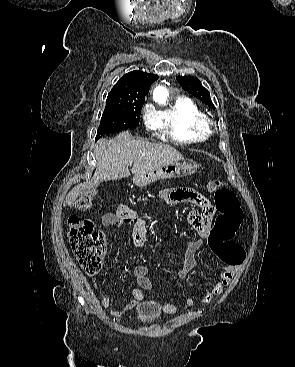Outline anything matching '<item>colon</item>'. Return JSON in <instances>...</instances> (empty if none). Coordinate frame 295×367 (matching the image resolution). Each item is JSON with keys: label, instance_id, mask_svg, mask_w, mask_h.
Listing matches in <instances>:
<instances>
[{"label": "colon", "instance_id": "colon-1", "mask_svg": "<svg viewBox=\"0 0 295 367\" xmlns=\"http://www.w3.org/2000/svg\"><path fill=\"white\" fill-rule=\"evenodd\" d=\"M208 189L214 194L219 215L210 232V246L226 263L239 265L243 262V248L233 241L243 219V213L236 194L220 180H212ZM94 206V195H81L74 203L80 211H88ZM69 241L80 266L89 274L96 273L101 266L105 252L103 234L95 229L94 222L88 217L70 216Z\"/></svg>", "mask_w": 295, "mask_h": 367}]
</instances>
